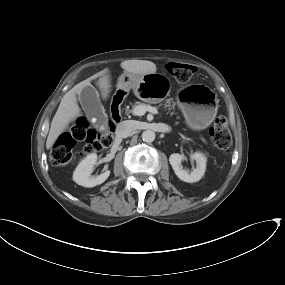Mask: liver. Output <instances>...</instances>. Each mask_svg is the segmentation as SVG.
<instances>
[{
  "label": "liver",
  "mask_w": 285,
  "mask_h": 285,
  "mask_svg": "<svg viewBox=\"0 0 285 285\" xmlns=\"http://www.w3.org/2000/svg\"><path fill=\"white\" fill-rule=\"evenodd\" d=\"M121 68L126 72L138 75L156 73L157 67L151 61L146 60H125L120 64ZM109 69L94 74L92 77L78 83L69 90L62 98L55 116L51 122L50 131L46 141V148L50 149L62 132L66 130L69 124L77 117L81 116V110L77 103V95H80L84 86L89 85L91 80L99 78L97 85L99 86L103 98L108 97L110 92Z\"/></svg>",
  "instance_id": "6515ba94"
}]
</instances>
